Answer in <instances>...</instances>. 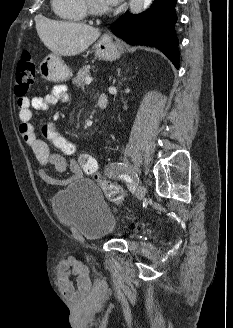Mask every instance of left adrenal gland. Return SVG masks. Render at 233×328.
<instances>
[{
  "label": "left adrenal gland",
  "mask_w": 233,
  "mask_h": 328,
  "mask_svg": "<svg viewBox=\"0 0 233 328\" xmlns=\"http://www.w3.org/2000/svg\"><path fill=\"white\" fill-rule=\"evenodd\" d=\"M118 76H120V69H118Z\"/></svg>",
  "instance_id": "1"
}]
</instances>
